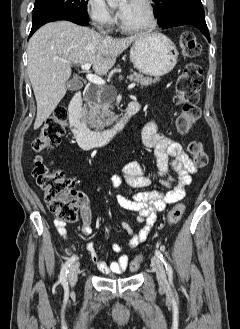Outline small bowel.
I'll list each match as a JSON object with an SVG mask.
<instances>
[{"instance_id": "c3829d8e", "label": "small bowel", "mask_w": 240, "mask_h": 329, "mask_svg": "<svg viewBox=\"0 0 240 329\" xmlns=\"http://www.w3.org/2000/svg\"><path fill=\"white\" fill-rule=\"evenodd\" d=\"M141 107V103L136 101ZM142 141L145 147L154 152L157 173L160 185L166 190L153 187V178L149 175L145 166L138 162H131L122 168L120 175H114L110 179V186L118 187L125 181L130 186L142 191L131 196L118 195L117 201L121 207L138 214V221L144 226L140 230H134L131 225L123 221L122 227L130 236L127 249L134 250L144 242L153 227L156 214L167 206L181 201L185 196V187L191 183L192 175L197 171L193 161L189 158L182 146L176 141L164 136L158 130V125L151 120L142 129ZM170 172L176 173L173 177ZM80 226L85 236L93 234L92 214L90 206L82 199L80 203ZM58 234L66 238L67 229L65 223L56 220L54 222ZM86 249L90 253L94 265L102 273L120 274L128 266L129 257L122 254L118 259L106 263L93 243L88 242ZM112 249L122 253L124 247L114 243Z\"/></svg>"}]
</instances>
